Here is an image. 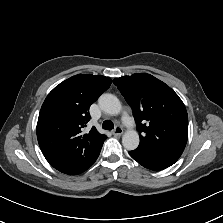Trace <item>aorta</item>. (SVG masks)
<instances>
[{
	"instance_id": "obj_1",
	"label": "aorta",
	"mask_w": 223,
	"mask_h": 223,
	"mask_svg": "<svg viewBox=\"0 0 223 223\" xmlns=\"http://www.w3.org/2000/svg\"><path fill=\"white\" fill-rule=\"evenodd\" d=\"M99 106L102 111L111 116L120 115L122 112V104L120 100L112 94H103L99 98ZM139 134L136 129L125 130L122 136V144L128 150H133L139 145Z\"/></svg>"
}]
</instances>
